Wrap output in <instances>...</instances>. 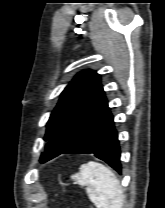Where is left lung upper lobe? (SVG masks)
Listing matches in <instances>:
<instances>
[{
  "label": "left lung upper lobe",
  "instance_id": "1",
  "mask_svg": "<svg viewBox=\"0 0 165 208\" xmlns=\"http://www.w3.org/2000/svg\"><path fill=\"white\" fill-rule=\"evenodd\" d=\"M107 102L95 71H83L61 93L60 100L47 122L42 163L66 153L81 127Z\"/></svg>",
  "mask_w": 165,
  "mask_h": 208
}]
</instances>
